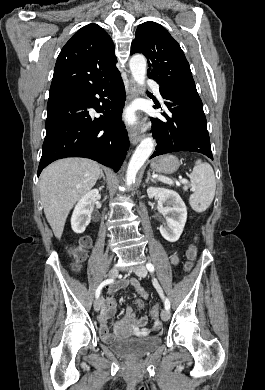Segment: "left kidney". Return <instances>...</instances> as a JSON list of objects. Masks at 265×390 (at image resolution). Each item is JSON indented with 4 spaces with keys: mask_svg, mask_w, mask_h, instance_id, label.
Here are the masks:
<instances>
[{
    "mask_svg": "<svg viewBox=\"0 0 265 390\" xmlns=\"http://www.w3.org/2000/svg\"><path fill=\"white\" fill-rule=\"evenodd\" d=\"M149 198H158V211L165 216L166 224L160 226L162 237L169 242H176L184 229L187 220L185 203L178 193L165 188L149 187Z\"/></svg>",
    "mask_w": 265,
    "mask_h": 390,
    "instance_id": "obj_1",
    "label": "left kidney"
}]
</instances>
